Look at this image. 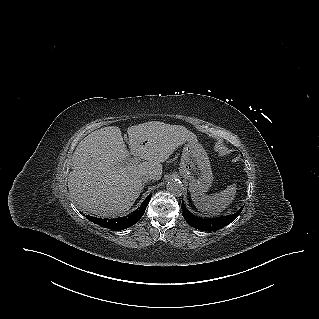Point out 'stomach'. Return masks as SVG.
<instances>
[{"label": "stomach", "instance_id": "stomach-1", "mask_svg": "<svg viewBox=\"0 0 319 319\" xmlns=\"http://www.w3.org/2000/svg\"><path fill=\"white\" fill-rule=\"evenodd\" d=\"M181 176L188 180L192 194L203 195L213 181L210 161L206 151L196 140H189L182 152L179 167Z\"/></svg>", "mask_w": 319, "mask_h": 319}]
</instances>
